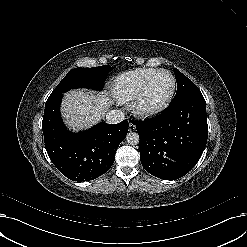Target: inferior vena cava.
<instances>
[{
  "label": "inferior vena cava",
  "mask_w": 247,
  "mask_h": 247,
  "mask_svg": "<svg viewBox=\"0 0 247 247\" xmlns=\"http://www.w3.org/2000/svg\"><path fill=\"white\" fill-rule=\"evenodd\" d=\"M124 113L122 110L117 109V110H110L106 114V122L109 124H117L121 121L124 120Z\"/></svg>",
  "instance_id": "602c4592"
}]
</instances>
